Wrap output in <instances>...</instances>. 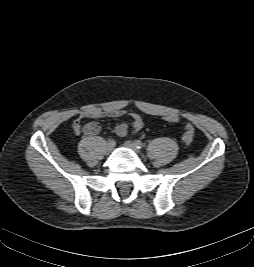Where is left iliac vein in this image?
I'll use <instances>...</instances> for the list:
<instances>
[{
  "mask_svg": "<svg viewBox=\"0 0 254 267\" xmlns=\"http://www.w3.org/2000/svg\"><path fill=\"white\" fill-rule=\"evenodd\" d=\"M124 145H125L127 148H129V149L133 150L134 152H136L137 154L140 153V151L138 150V148L136 147V145H135L133 142H131V141H126V142L124 143Z\"/></svg>",
  "mask_w": 254,
  "mask_h": 267,
  "instance_id": "1",
  "label": "left iliac vein"
}]
</instances>
